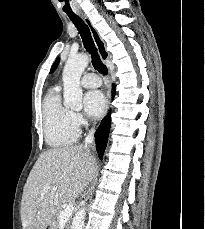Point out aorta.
<instances>
[{
    "label": "aorta",
    "instance_id": "obj_1",
    "mask_svg": "<svg viewBox=\"0 0 205 229\" xmlns=\"http://www.w3.org/2000/svg\"><path fill=\"white\" fill-rule=\"evenodd\" d=\"M89 63L86 54L70 56L65 64L62 80L64 84V105L68 108L82 109V89L80 78ZM86 211L81 207L73 218L71 229H82L84 226Z\"/></svg>",
    "mask_w": 205,
    "mask_h": 229
}]
</instances>
